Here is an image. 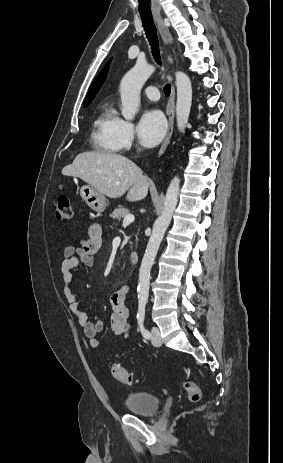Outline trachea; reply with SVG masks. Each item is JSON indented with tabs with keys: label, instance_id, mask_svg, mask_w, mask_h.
<instances>
[{
	"label": "trachea",
	"instance_id": "1",
	"mask_svg": "<svg viewBox=\"0 0 283 463\" xmlns=\"http://www.w3.org/2000/svg\"><path fill=\"white\" fill-rule=\"evenodd\" d=\"M142 25L146 33V37L150 43L152 54L154 56L155 61L161 65L160 53H159V43L157 37V30L153 22V18L151 15H143L141 14ZM171 92V86L167 84L164 87V93L166 96H169Z\"/></svg>",
	"mask_w": 283,
	"mask_h": 463
}]
</instances>
